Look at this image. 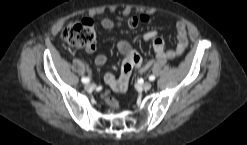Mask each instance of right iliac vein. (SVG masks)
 Here are the masks:
<instances>
[{
	"instance_id": "right-iliac-vein-1",
	"label": "right iliac vein",
	"mask_w": 247,
	"mask_h": 145,
	"mask_svg": "<svg viewBox=\"0 0 247 145\" xmlns=\"http://www.w3.org/2000/svg\"><path fill=\"white\" fill-rule=\"evenodd\" d=\"M94 88H95V86L93 84H91V83H88V84L85 85V90H87V91H91Z\"/></svg>"
}]
</instances>
